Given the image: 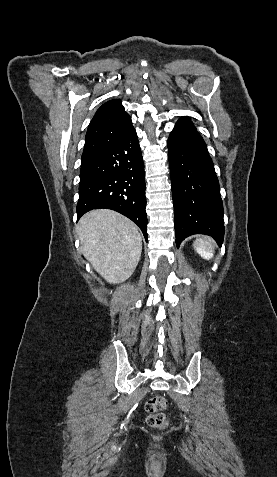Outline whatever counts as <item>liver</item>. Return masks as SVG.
I'll return each mask as SVG.
<instances>
[{"label":"liver","instance_id":"obj_1","mask_svg":"<svg viewBox=\"0 0 277 477\" xmlns=\"http://www.w3.org/2000/svg\"><path fill=\"white\" fill-rule=\"evenodd\" d=\"M77 234L84 257L108 283H121L133 274L142 238L131 220L112 210H92L79 220Z\"/></svg>","mask_w":277,"mask_h":477}]
</instances>
